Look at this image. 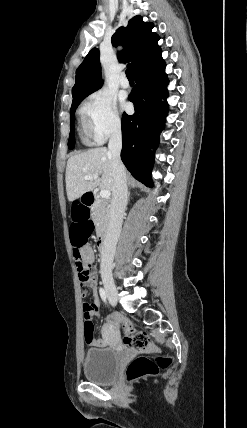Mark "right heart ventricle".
Returning a JSON list of instances; mask_svg holds the SVG:
<instances>
[{
	"label": "right heart ventricle",
	"instance_id": "1",
	"mask_svg": "<svg viewBox=\"0 0 247 428\" xmlns=\"http://www.w3.org/2000/svg\"><path fill=\"white\" fill-rule=\"evenodd\" d=\"M78 130L82 142L84 144H90L93 136L91 133L89 119L87 117L85 109L80 111Z\"/></svg>",
	"mask_w": 247,
	"mask_h": 428
}]
</instances>
